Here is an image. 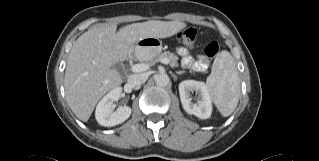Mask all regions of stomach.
<instances>
[{
  "label": "stomach",
  "instance_id": "obj_1",
  "mask_svg": "<svg viewBox=\"0 0 319 161\" xmlns=\"http://www.w3.org/2000/svg\"><path fill=\"white\" fill-rule=\"evenodd\" d=\"M161 50L162 42L154 37L141 39L134 46L135 56L142 61H151Z\"/></svg>",
  "mask_w": 319,
  "mask_h": 161
}]
</instances>
